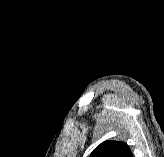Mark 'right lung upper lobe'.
<instances>
[{
	"label": "right lung upper lobe",
	"instance_id": "1",
	"mask_svg": "<svg viewBox=\"0 0 164 157\" xmlns=\"http://www.w3.org/2000/svg\"><path fill=\"white\" fill-rule=\"evenodd\" d=\"M89 157H133L124 142L105 141L97 146Z\"/></svg>",
	"mask_w": 164,
	"mask_h": 157
}]
</instances>
